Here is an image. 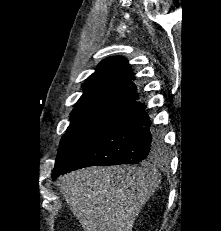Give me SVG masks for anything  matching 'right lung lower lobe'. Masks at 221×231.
<instances>
[{
	"label": "right lung lower lobe",
	"instance_id": "98d812e1",
	"mask_svg": "<svg viewBox=\"0 0 221 231\" xmlns=\"http://www.w3.org/2000/svg\"><path fill=\"white\" fill-rule=\"evenodd\" d=\"M161 151L162 138L150 129V119L143 111L142 103L134 101L113 116L65 166L53 170L52 179L88 166L151 161Z\"/></svg>",
	"mask_w": 221,
	"mask_h": 231
}]
</instances>
